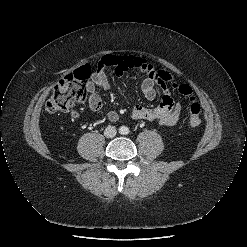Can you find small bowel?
<instances>
[{
	"instance_id": "1",
	"label": "small bowel",
	"mask_w": 247,
	"mask_h": 247,
	"mask_svg": "<svg viewBox=\"0 0 247 247\" xmlns=\"http://www.w3.org/2000/svg\"><path fill=\"white\" fill-rule=\"evenodd\" d=\"M114 68L115 74L121 77L130 69H138L146 75L141 84V90L144 97L152 101L157 96L156 87L162 90V98L158 106L145 107L142 105L135 106L131 111V117L136 120H147L157 122L160 125L173 126L181 116L182 103L174 101L168 84L178 85L169 72L156 69L146 59L132 55H104L95 72L92 73L90 80L86 83V90L89 92V107L92 111H99L102 108L101 90L109 88V81L105 74V69ZM75 118L77 114L73 115ZM107 117L110 121L115 122L119 119V113L115 110L108 112Z\"/></svg>"
}]
</instances>
